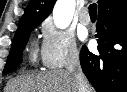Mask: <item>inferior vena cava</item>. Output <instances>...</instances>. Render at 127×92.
Instances as JSON below:
<instances>
[{"mask_svg":"<svg viewBox=\"0 0 127 92\" xmlns=\"http://www.w3.org/2000/svg\"><path fill=\"white\" fill-rule=\"evenodd\" d=\"M67 70L73 75L77 84L78 92H88L89 85L86 77L84 76L79 59V52L73 49L67 60Z\"/></svg>","mask_w":127,"mask_h":92,"instance_id":"602c4592","label":"inferior vena cava"}]
</instances>
